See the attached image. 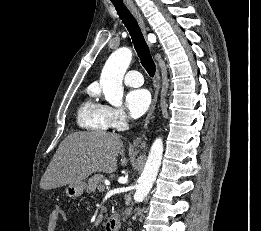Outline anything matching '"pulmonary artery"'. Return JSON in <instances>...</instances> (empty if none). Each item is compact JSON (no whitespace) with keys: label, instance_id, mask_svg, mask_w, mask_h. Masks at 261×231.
Masks as SVG:
<instances>
[{"label":"pulmonary artery","instance_id":"1","mask_svg":"<svg viewBox=\"0 0 261 231\" xmlns=\"http://www.w3.org/2000/svg\"><path fill=\"white\" fill-rule=\"evenodd\" d=\"M124 82L129 86L139 87L143 84V77L138 71L130 70L126 73Z\"/></svg>","mask_w":261,"mask_h":231}]
</instances>
